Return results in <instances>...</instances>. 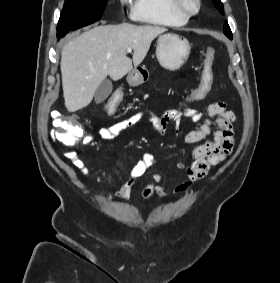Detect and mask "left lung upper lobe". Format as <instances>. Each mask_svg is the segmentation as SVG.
I'll return each mask as SVG.
<instances>
[{"label": "left lung upper lobe", "mask_w": 280, "mask_h": 283, "mask_svg": "<svg viewBox=\"0 0 280 283\" xmlns=\"http://www.w3.org/2000/svg\"><path fill=\"white\" fill-rule=\"evenodd\" d=\"M213 4L217 9H219L222 14H224V8L220 0H213ZM224 33L226 34V36L231 37L232 33L227 21L224 24Z\"/></svg>", "instance_id": "1"}]
</instances>
